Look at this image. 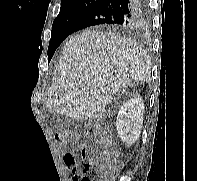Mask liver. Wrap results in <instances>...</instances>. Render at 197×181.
Masks as SVG:
<instances>
[{"mask_svg": "<svg viewBox=\"0 0 197 181\" xmlns=\"http://www.w3.org/2000/svg\"><path fill=\"white\" fill-rule=\"evenodd\" d=\"M151 61L126 37L85 30L66 42L50 87L47 108L77 120H95L123 87L148 82Z\"/></svg>", "mask_w": 197, "mask_h": 181, "instance_id": "6515ba94", "label": "liver"}]
</instances>
